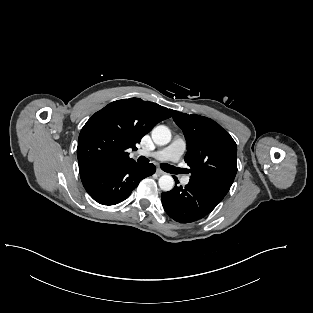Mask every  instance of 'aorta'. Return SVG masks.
<instances>
[{"mask_svg": "<svg viewBox=\"0 0 313 313\" xmlns=\"http://www.w3.org/2000/svg\"><path fill=\"white\" fill-rule=\"evenodd\" d=\"M152 139L157 145H166L171 140V132L167 126L159 125L152 130ZM174 186V179L170 175L159 178V187L163 191H170Z\"/></svg>", "mask_w": 313, "mask_h": 313, "instance_id": "aorta-1", "label": "aorta"}]
</instances>
